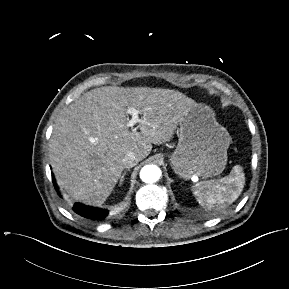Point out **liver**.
Wrapping results in <instances>:
<instances>
[{
    "label": "liver",
    "instance_id": "1",
    "mask_svg": "<svg viewBox=\"0 0 289 289\" xmlns=\"http://www.w3.org/2000/svg\"><path fill=\"white\" fill-rule=\"evenodd\" d=\"M195 101L179 91L104 86L84 93L55 121L50 163L59 187L76 201L100 206L113 191L129 152L143 160L152 144L170 141ZM128 108L141 115L140 132L127 127Z\"/></svg>",
    "mask_w": 289,
    "mask_h": 289
}]
</instances>
